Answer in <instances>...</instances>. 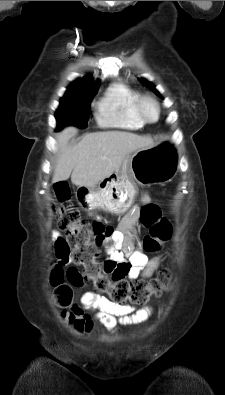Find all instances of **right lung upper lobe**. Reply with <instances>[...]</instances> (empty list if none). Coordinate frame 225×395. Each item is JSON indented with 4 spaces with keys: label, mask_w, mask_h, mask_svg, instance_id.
<instances>
[{
    "label": "right lung upper lobe",
    "mask_w": 225,
    "mask_h": 395,
    "mask_svg": "<svg viewBox=\"0 0 225 395\" xmlns=\"http://www.w3.org/2000/svg\"><path fill=\"white\" fill-rule=\"evenodd\" d=\"M99 81H92L91 77H86L71 83L66 93L77 95H89L97 92Z\"/></svg>",
    "instance_id": "cb5924a9"
}]
</instances>
